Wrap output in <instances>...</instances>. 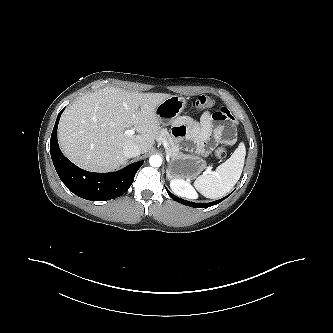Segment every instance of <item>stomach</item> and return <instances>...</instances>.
Returning <instances> with one entry per match:
<instances>
[{"label":"stomach","mask_w":333,"mask_h":333,"mask_svg":"<svg viewBox=\"0 0 333 333\" xmlns=\"http://www.w3.org/2000/svg\"><path fill=\"white\" fill-rule=\"evenodd\" d=\"M186 100L182 96L172 95L163 100L155 109L156 116L162 124L173 123L185 109ZM205 160L198 155L181 153L171 158L169 168L173 177H195L205 167Z\"/></svg>","instance_id":"1"}]
</instances>
